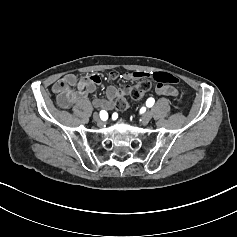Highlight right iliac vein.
<instances>
[{
  "label": "right iliac vein",
  "mask_w": 237,
  "mask_h": 237,
  "mask_svg": "<svg viewBox=\"0 0 237 237\" xmlns=\"http://www.w3.org/2000/svg\"><path fill=\"white\" fill-rule=\"evenodd\" d=\"M93 120H94L95 122H97V124H100V125H102V124L104 123V121H102V120L100 119V117H99V115H98L97 113H94V114H93Z\"/></svg>",
  "instance_id": "obj_1"
}]
</instances>
